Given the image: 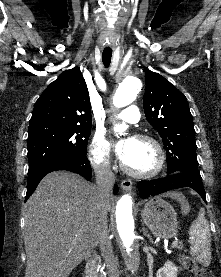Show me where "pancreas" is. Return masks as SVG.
I'll return each mask as SVG.
<instances>
[{
	"mask_svg": "<svg viewBox=\"0 0 221 277\" xmlns=\"http://www.w3.org/2000/svg\"><path fill=\"white\" fill-rule=\"evenodd\" d=\"M178 248H179V249H182V246H179Z\"/></svg>",
	"mask_w": 221,
	"mask_h": 277,
	"instance_id": "1",
	"label": "pancreas"
}]
</instances>
